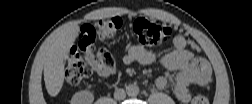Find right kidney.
<instances>
[{
	"instance_id": "ca27d5eb",
	"label": "right kidney",
	"mask_w": 252,
	"mask_h": 104,
	"mask_svg": "<svg viewBox=\"0 0 252 104\" xmlns=\"http://www.w3.org/2000/svg\"><path fill=\"white\" fill-rule=\"evenodd\" d=\"M94 100V96L89 91H80L73 95L72 103L73 104H91Z\"/></svg>"
}]
</instances>
